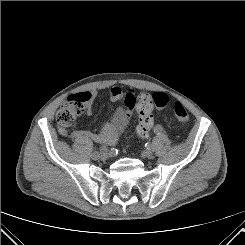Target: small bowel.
Returning a JSON list of instances; mask_svg holds the SVG:
<instances>
[{
    "label": "small bowel",
    "mask_w": 245,
    "mask_h": 245,
    "mask_svg": "<svg viewBox=\"0 0 245 245\" xmlns=\"http://www.w3.org/2000/svg\"><path fill=\"white\" fill-rule=\"evenodd\" d=\"M109 100L112 102H117L119 100H123L126 111L125 118L126 123L130 120L133 114V110L136 104V94L132 89H122L120 87H112L109 92ZM153 100L155 102V106L157 109L162 110L165 108L166 103L164 101V97L162 94L157 93L154 95ZM90 111L88 110L87 113ZM124 129V128H123ZM121 129L119 132H121ZM73 138H90L93 141L101 144H113L118 136V132H114L111 129H102V130H94V131H84V130H75L71 133Z\"/></svg>",
    "instance_id": "small-bowel-1"
}]
</instances>
